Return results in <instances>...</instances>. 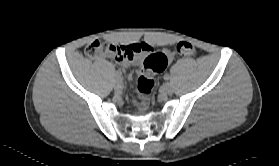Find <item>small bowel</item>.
I'll return each mask as SVG.
<instances>
[{
  "label": "small bowel",
  "instance_id": "small-bowel-1",
  "mask_svg": "<svg viewBox=\"0 0 279 166\" xmlns=\"http://www.w3.org/2000/svg\"><path fill=\"white\" fill-rule=\"evenodd\" d=\"M132 45H135V44H132ZM136 45H139V46L142 47V50H141L140 53H143V52L144 53H149L152 50V47L147 43L136 44ZM159 53H161L165 58V66H164V69H165L166 66L168 65V63H170L173 60L174 53L170 50H164L163 52H159ZM108 55L113 57L114 60L118 64H120L122 67H124L126 69L137 67L140 64L139 59L136 56L137 54L134 55L133 57H130V58H118V57H115L112 54H108Z\"/></svg>",
  "mask_w": 279,
  "mask_h": 166
}]
</instances>
